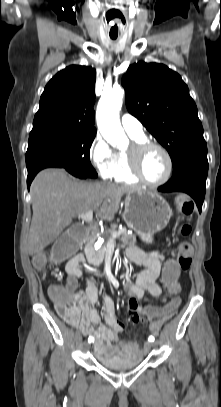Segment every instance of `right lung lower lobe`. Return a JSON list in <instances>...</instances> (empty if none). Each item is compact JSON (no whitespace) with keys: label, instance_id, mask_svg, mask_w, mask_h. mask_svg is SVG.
Wrapping results in <instances>:
<instances>
[{"label":"right lung lower lobe","instance_id":"right-lung-lower-lobe-1","mask_svg":"<svg viewBox=\"0 0 221 407\" xmlns=\"http://www.w3.org/2000/svg\"><path fill=\"white\" fill-rule=\"evenodd\" d=\"M48 167H59V168H65L62 166L61 163L59 162H55V161H45V162H41L40 164L34 166L31 169H28V177H27V185H28V189L30 188V184L32 182V180L34 179L35 175L42 169L44 168H48ZM66 169V168H65ZM69 173H71L72 175H74L75 177L81 178V179H85V178H89V176L87 175H83L71 170L66 169Z\"/></svg>","mask_w":221,"mask_h":407}]
</instances>
